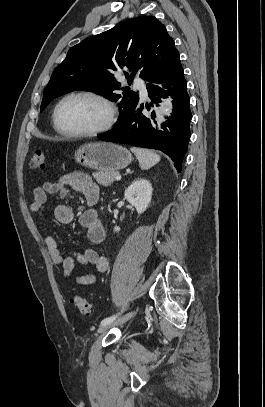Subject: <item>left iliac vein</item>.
<instances>
[{
  "instance_id": "1",
  "label": "left iliac vein",
  "mask_w": 265,
  "mask_h": 407,
  "mask_svg": "<svg viewBox=\"0 0 265 407\" xmlns=\"http://www.w3.org/2000/svg\"><path fill=\"white\" fill-rule=\"evenodd\" d=\"M135 314H136V311L133 310V311H131V312L125 314L124 316H122V317L116 319L115 321H113V322H111V323L102 325V326L98 329L97 333H98V334H100V333H105V332L108 331L110 328L115 327V326H118V325H121V324L127 322V321L130 320Z\"/></svg>"
}]
</instances>
